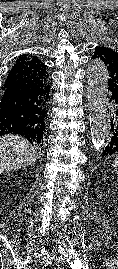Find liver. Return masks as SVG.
I'll return each instance as SVG.
<instances>
[{
    "label": "liver",
    "instance_id": "liver-1",
    "mask_svg": "<svg viewBox=\"0 0 118 269\" xmlns=\"http://www.w3.org/2000/svg\"><path fill=\"white\" fill-rule=\"evenodd\" d=\"M36 161V150L18 135L0 137V174L25 168Z\"/></svg>",
    "mask_w": 118,
    "mask_h": 269
}]
</instances>
